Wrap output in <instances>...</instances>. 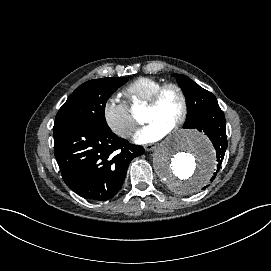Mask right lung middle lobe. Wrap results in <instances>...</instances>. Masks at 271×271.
<instances>
[{
    "mask_svg": "<svg viewBox=\"0 0 271 271\" xmlns=\"http://www.w3.org/2000/svg\"><path fill=\"white\" fill-rule=\"evenodd\" d=\"M126 81L127 78H101L80 85L59 109L53 132L72 125L108 127L104 116L106 101Z\"/></svg>",
    "mask_w": 271,
    "mask_h": 271,
    "instance_id": "right-lung-middle-lobe-1",
    "label": "right lung middle lobe"
}]
</instances>
